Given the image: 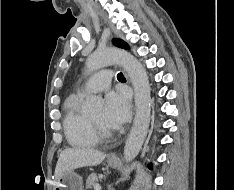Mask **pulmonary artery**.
Here are the masks:
<instances>
[{"mask_svg": "<svg viewBox=\"0 0 234 190\" xmlns=\"http://www.w3.org/2000/svg\"><path fill=\"white\" fill-rule=\"evenodd\" d=\"M111 78L112 75L107 69L101 71L100 73L94 75L86 84V91L98 92L106 89L109 86Z\"/></svg>", "mask_w": 234, "mask_h": 190, "instance_id": "pulmonary-artery-1", "label": "pulmonary artery"}]
</instances>
